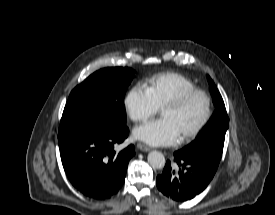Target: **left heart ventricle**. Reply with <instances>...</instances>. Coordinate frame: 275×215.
I'll return each instance as SVG.
<instances>
[{
  "instance_id": "1",
  "label": "left heart ventricle",
  "mask_w": 275,
  "mask_h": 215,
  "mask_svg": "<svg viewBox=\"0 0 275 215\" xmlns=\"http://www.w3.org/2000/svg\"><path fill=\"white\" fill-rule=\"evenodd\" d=\"M206 112V101L202 95H194L178 108H164L161 110V117L170 120L180 135L196 127L203 119Z\"/></svg>"
}]
</instances>
